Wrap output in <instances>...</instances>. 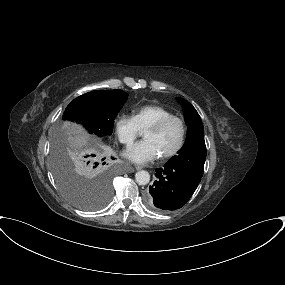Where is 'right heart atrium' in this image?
Returning a JSON list of instances; mask_svg holds the SVG:
<instances>
[{"instance_id": "d8ad5b80", "label": "right heart atrium", "mask_w": 285, "mask_h": 285, "mask_svg": "<svg viewBox=\"0 0 285 285\" xmlns=\"http://www.w3.org/2000/svg\"><path fill=\"white\" fill-rule=\"evenodd\" d=\"M114 131L119 141L126 146H131L140 134L134 118L128 115H120L115 119Z\"/></svg>"}]
</instances>
